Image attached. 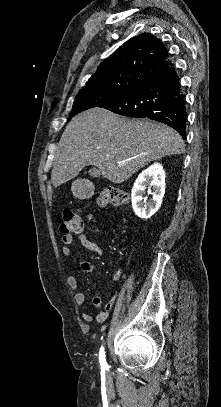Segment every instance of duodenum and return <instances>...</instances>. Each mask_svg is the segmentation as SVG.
Returning <instances> with one entry per match:
<instances>
[{
  "label": "duodenum",
  "instance_id": "obj_1",
  "mask_svg": "<svg viewBox=\"0 0 221 407\" xmlns=\"http://www.w3.org/2000/svg\"><path fill=\"white\" fill-rule=\"evenodd\" d=\"M91 191H92V189H88V190H87L88 193H91Z\"/></svg>",
  "mask_w": 221,
  "mask_h": 407
}]
</instances>
